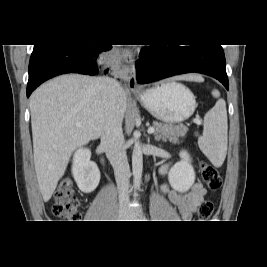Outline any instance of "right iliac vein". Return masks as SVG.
<instances>
[{"instance_id":"obj_1","label":"right iliac vein","mask_w":267,"mask_h":267,"mask_svg":"<svg viewBox=\"0 0 267 267\" xmlns=\"http://www.w3.org/2000/svg\"><path fill=\"white\" fill-rule=\"evenodd\" d=\"M126 217H127L126 211H124V210L119 211V213H118V219L119 220H124V219H126Z\"/></svg>"}]
</instances>
